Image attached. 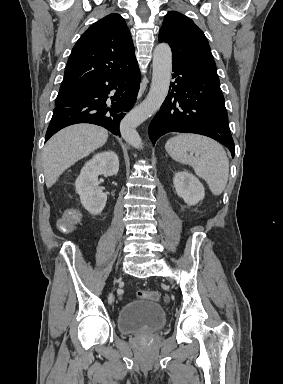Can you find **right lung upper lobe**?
Here are the masks:
<instances>
[{
  "mask_svg": "<svg viewBox=\"0 0 283 384\" xmlns=\"http://www.w3.org/2000/svg\"><path fill=\"white\" fill-rule=\"evenodd\" d=\"M137 65L126 22L109 14L91 25L72 49L60 91L75 92L89 82L130 71Z\"/></svg>",
  "mask_w": 283,
  "mask_h": 384,
  "instance_id": "1",
  "label": "right lung upper lobe"
}]
</instances>
